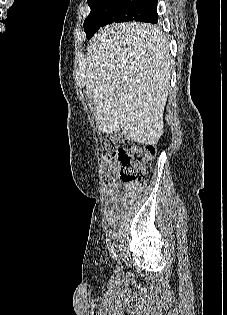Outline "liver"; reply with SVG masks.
Masks as SVG:
<instances>
[{"instance_id": "obj_1", "label": "liver", "mask_w": 227, "mask_h": 315, "mask_svg": "<svg viewBox=\"0 0 227 315\" xmlns=\"http://www.w3.org/2000/svg\"><path fill=\"white\" fill-rule=\"evenodd\" d=\"M86 95L99 130L156 145L163 134L171 59L156 25L131 22L100 29L87 47Z\"/></svg>"}]
</instances>
